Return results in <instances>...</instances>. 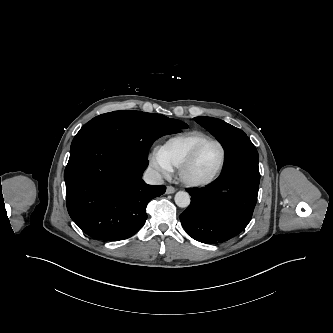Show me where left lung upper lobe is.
Masks as SVG:
<instances>
[{"label": "left lung upper lobe", "mask_w": 333, "mask_h": 333, "mask_svg": "<svg viewBox=\"0 0 333 333\" xmlns=\"http://www.w3.org/2000/svg\"><path fill=\"white\" fill-rule=\"evenodd\" d=\"M194 120L211 132L225 149L234 139L246 135L242 130L212 117H195Z\"/></svg>", "instance_id": "obj_1"}]
</instances>
